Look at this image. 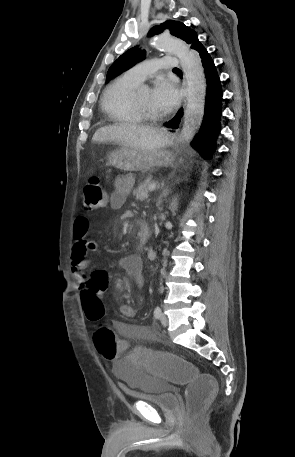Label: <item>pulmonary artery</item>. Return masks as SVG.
I'll return each mask as SVG.
<instances>
[{"label": "pulmonary artery", "mask_w": 295, "mask_h": 457, "mask_svg": "<svg viewBox=\"0 0 295 457\" xmlns=\"http://www.w3.org/2000/svg\"><path fill=\"white\" fill-rule=\"evenodd\" d=\"M179 67V60L174 56H163L146 60L132 67L126 73L132 79L142 82L160 69L172 70Z\"/></svg>", "instance_id": "e3ab8cb5"}]
</instances>
